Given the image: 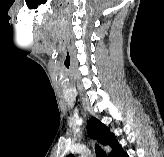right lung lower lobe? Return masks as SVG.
Returning <instances> with one entry per match:
<instances>
[{
    "label": "right lung lower lobe",
    "instance_id": "1",
    "mask_svg": "<svg viewBox=\"0 0 164 157\" xmlns=\"http://www.w3.org/2000/svg\"><path fill=\"white\" fill-rule=\"evenodd\" d=\"M111 157H129L127 153H125L122 149V146H119L113 151Z\"/></svg>",
    "mask_w": 164,
    "mask_h": 157
}]
</instances>
